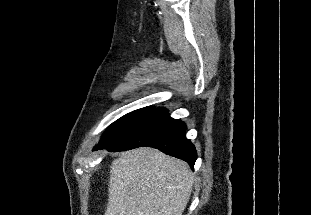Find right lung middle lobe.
Wrapping results in <instances>:
<instances>
[{
  "label": "right lung middle lobe",
  "instance_id": "1",
  "mask_svg": "<svg viewBox=\"0 0 311 215\" xmlns=\"http://www.w3.org/2000/svg\"><path fill=\"white\" fill-rule=\"evenodd\" d=\"M153 110L154 107H145L130 112L119 118L103 134L99 144L94 148V150L103 149L106 146L122 139Z\"/></svg>",
  "mask_w": 311,
  "mask_h": 215
}]
</instances>
